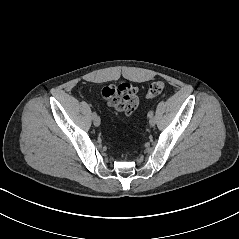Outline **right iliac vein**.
<instances>
[{
  "mask_svg": "<svg viewBox=\"0 0 239 239\" xmlns=\"http://www.w3.org/2000/svg\"><path fill=\"white\" fill-rule=\"evenodd\" d=\"M93 123H94L95 126L100 125L101 121H100L99 116H96V117L93 118Z\"/></svg>",
  "mask_w": 239,
  "mask_h": 239,
  "instance_id": "1",
  "label": "right iliac vein"
}]
</instances>
